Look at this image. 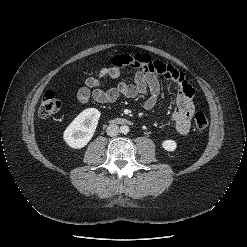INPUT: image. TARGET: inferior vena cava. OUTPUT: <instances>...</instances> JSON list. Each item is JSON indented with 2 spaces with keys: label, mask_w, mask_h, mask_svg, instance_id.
Segmentation results:
<instances>
[{
  "label": "inferior vena cava",
  "mask_w": 247,
  "mask_h": 247,
  "mask_svg": "<svg viewBox=\"0 0 247 247\" xmlns=\"http://www.w3.org/2000/svg\"><path fill=\"white\" fill-rule=\"evenodd\" d=\"M106 132L109 136H116L119 133V127L116 124H110L108 125Z\"/></svg>",
  "instance_id": "obj_1"
}]
</instances>
